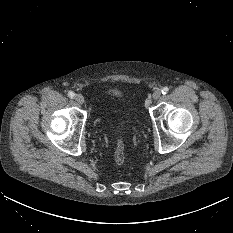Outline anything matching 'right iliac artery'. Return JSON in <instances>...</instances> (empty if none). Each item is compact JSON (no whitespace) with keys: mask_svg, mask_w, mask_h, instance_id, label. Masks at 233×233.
Masks as SVG:
<instances>
[{"mask_svg":"<svg viewBox=\"0 0 233 233\" xmlns=\"http://www.w3.org/2000/svg\"><path fill=\"white\" fill-rule=\"evenodd\" d=\"M68 97L74 98V97H75V93L72 92V91H69V92H68Z\"/></svg>","mask_w":233,"mask_h":233,"instance_id":"82829eb1","label":"right iliac artery"}]
</instances>
